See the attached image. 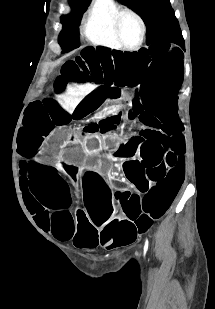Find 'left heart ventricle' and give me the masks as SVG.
I'll return each instance as SVG.
<instances>
[{
  "instance_id": "obj_1",
  "label": "left heart ventricle",
  "mask_w": 215,
  "mask_h": 309,
  "mask_svg": "<svg viewBox=\"0 0 215 309\" xmlns=\"http://www.w3.org/2000/svg\"><path fill=\"white\" fill-rule=\"evenodd\" d=\"M118 33L122 41H125V46H131L138 40L139 32L136 22L128 16H123Z\"/></svg>"
}]
</instances>
